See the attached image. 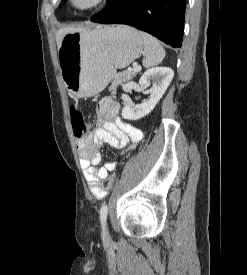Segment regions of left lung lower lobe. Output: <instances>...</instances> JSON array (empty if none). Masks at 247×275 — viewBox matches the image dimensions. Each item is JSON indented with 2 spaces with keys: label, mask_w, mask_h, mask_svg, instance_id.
Returning a JSON list of instances; mask_svg holds the SVG:
<instances>
[{
  "label": "left lung lower lobe",
  "mask_w": 247,
  "mask_h": 275,
  "mask_svg": "<svg viewBox=\"0 0 247 275\" xmlns=\"http://www.w3.org/2000/svg\"><path fill=\"white\" fill-rule=\"evenodd\" d=\"M186 0H111L91 18L102 24H126L164 43L181 47Z\"/></svg>",
  "instance_id": "obj_1"
}]
</instances>
